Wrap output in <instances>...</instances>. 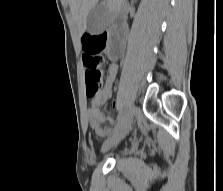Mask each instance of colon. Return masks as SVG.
<instances>
[{
  "instance_id": "colon-1",
  "label": "colon",
  "mask_w": 223,
  "mask_h": 191,
  "mask_svg": "<svg viewBox=\"0 0 223 191\" xmlns=\"http://www.w3.org/2000/svg\"><path fill=\"white\" fill-rule=\"evenodd\" d=\"M107 43V35L85 34L82 38L83 63L86 69V95L94 97L100 90L102 80L106 77V72L102 68L103 58L101 52Z\"/></svg>"
}]
</instances>
